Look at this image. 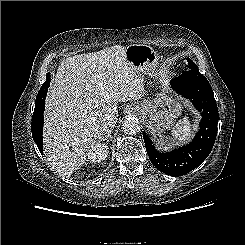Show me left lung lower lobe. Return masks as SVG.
<instances>
[{"instance_id": "0a47b994", "label": "left lung lower lobe", "mask_w": 245, "mask_h": 245, "mask_svg": "<svg viewBox=\"0 0 245 245\" xmlns=\"http://www.w3.org/2000/svg\"><path fill=\"white\" fill-rule=\"evenodd\" d=\"M171 86L190 99L201 112L199 131L191 143L166 153L156 150L145 133L143 137L152 164L161 172L178 177L198 167L210 154L217 135L219 115L212 87L198 69L184 71L171 81Z\"/></svg>"}]
</instances>
